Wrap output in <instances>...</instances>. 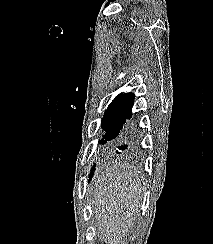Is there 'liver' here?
Here are the masks:
<instances>
[{
    "label": "liver",
    "instance_id": "6515ba94",
    "mask_svg": "<svg viewBox=\"0 0 213 244\" xmlns=\"http://www.w3.org/2000/svg\"><path fill=\"white\" fill-rule=\"evenodd\" d=\"M142 176L121 163H104L92 178L97 230L118 244L135 224L143 198Z\"/></svg>",
    "mask_w": 213,
    "mask_h": 244
}]
</instances>
